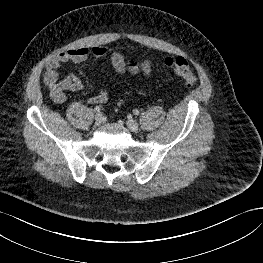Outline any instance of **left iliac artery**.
Here are the masks:
<instances>
[{
	"label": "left iliac artery",
	"instance_id": "obj_1",
	"mask_svg": "<svg viewBox=\"0 0 263 263\" xmlns=\"http://www.w3.org/2000/svg\"><path fill=\"white\" fill-rule=\"evenodd\" d=\"M133 113H134L135 115H139V110L135 109V110H133Z\"/></svg>",
	"mask_w": 263,
	"mask_h": 263
}]
</instances>
